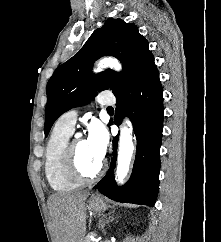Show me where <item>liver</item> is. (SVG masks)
Listing matches in <instances>:
<instances>
[{
	"instance_id": "6515ba94",
	"label": "liver",
	"mask_w": 221,
	"mask_h": 242,
	"mask_svg": "<svg viewBox=\"0 0 221 242\" xmlns=\"http://www.w3.org/2000/svg\"><path fill=\"white\" fill-rule=\"evenodd\" d=\"M88 192L57 193L48 199L53 242H83L86 232L85 200Z\"/></svg>"
}]
</instances>
